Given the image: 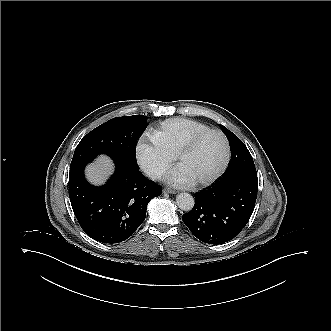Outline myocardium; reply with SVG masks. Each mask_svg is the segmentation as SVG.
Masks as SVG:
<instances>
[{
    "label": "myocardium",
    "mask_w": 331,
    "mask_h": 331,
    "mask_svg": "<svg viewBox=\"0 0 331 331\" xmlns=\"http://www.w3.org/2000/svg\"><path fill=\"white\" fill-rule=\"evenodd\" d=\"M210 134H216L218 135L223 143V147H224V157H223V161L220 165V167L218 168V170L211 175L208 178H203V179H198V180H194L193 184L195 186H200V185H207L210 184L214 181H216L225 171V169L227 168L228 162H229V158H230V149H229V143L228 140L226 138V136L224 135V133L222 131H220L219 129H208L205 130L195 136H193L191 139H189L179 150L178 155H177V162L176 165L179 167L181 164V161L183 159V157L185 156V154L191 150L201 139H203L204 137L210 135Z\"/></svg>",
    "instance_id": "f54148a6"
}]
</instances>
